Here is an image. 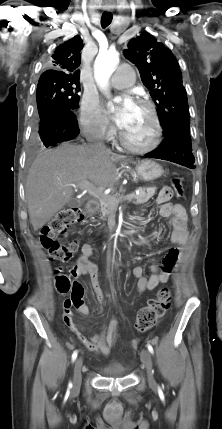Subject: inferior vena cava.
Returning <instances> with one entry per match:
<instances>
[{
	"mask_svg": "<svg viewBox=\"0 0 222 429\" xmlns=\"http://www.w3.org/2000/svg\"><path fill=\"white\" fill-rule=\"evenodd\" d=\"M89 140V147L94 148V149H102V150H106V146L104 145V143L102 141H100L99 139L96 138H88Z\"/></svg>",
	"mask_w": 222,
	"mask_h": 429,
	"instance_id": "602c4592",
	"label": "inferior vena cava"
}]
</instances>
